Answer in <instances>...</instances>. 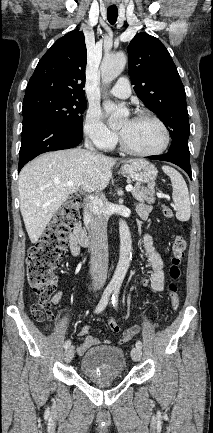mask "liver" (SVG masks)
Masks as SVG:
<instances>
[{
    "mask_svg": "<svg viewBox=\"0 0 213 433\" xmlns=\"http://www.w3.org/2000/svg\"><path fill=\"white\" fill-rule=\"evenodd\" d=\"M129 160L128 162H132ZM116 160L75 148L45 153L23 167L18 187L20 210L30 241H38L53 215L78 190L98 193L112 176ZM72 181L73 187L66 186Z\"/></svg>",
    "mask_w": 213,
    "mask_h": 433,
    "instance_id": "6515ba94",
    "label": "liver"
}]
</instances>
